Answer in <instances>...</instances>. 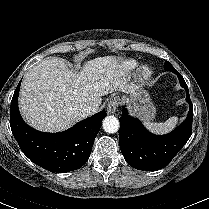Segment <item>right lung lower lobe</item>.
I'll return each instance as SVG.
<instances>
[{"mask_svg":"<svg viewBox=\"0 0 209 209\" xmlns=\"http://www.w3.org/2000/svg\"><path fill=\"white\" fill-rule=\"evenodd\" d=\"M19 82L12 101L10 126L23 153L51 172L79 169L88 160L106 112L101 111L60 133H43L28 126L18 109Z\"/></svg>","mask_w":209,"mask_h":209,"instance_id":"1","label":"right lung lower lobe"}]
</instances>
